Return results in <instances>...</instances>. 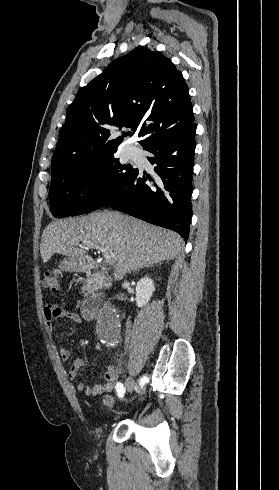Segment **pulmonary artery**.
I'll return each instance as SVG.
<instances>
[{
    "instance_id": "e3ab8cb5",
    "label": "pulmonary artery",
    "mask_w": 279,
    "mask_h": 490,
    "mask_svg": "<svg viewBox=\"0 0 279 490\" xmlns=\"http://www.w3.org/2000/svg\"><path fill=\"white\" fill-rule=\"evenodd\" d=\"M127 154H128V155H132V149H131V148H129V149L127 150Z\"/></svg>"
}]
</instances>
